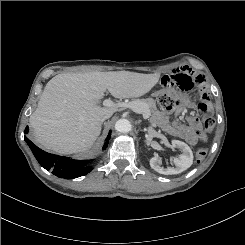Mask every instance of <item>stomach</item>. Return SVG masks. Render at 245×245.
Returning <instances> with one entry per match:
<instances>
[{"label": "stomach", "mask_w": 245, "mask_h": 245, "mask_svg": "<svg viewBox=\"0 0 245 245\" xmlns=\"http://www.w3.org/2000/svg\"><path fill=\"white\" fill-rule=\"evenodd\" d=\"M158 94H159V92H156V93H154L153 95H154V96H157Z\"/></svg>", "instance_id": "obj_1"}]
</instances>
